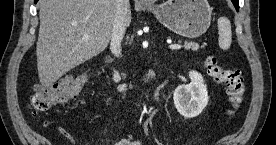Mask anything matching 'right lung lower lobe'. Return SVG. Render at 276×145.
<instances>
[{"instance_id": "obj_1", "label": "right lung lower lobe", "mask_w": 276, "mask_h": 145, "mask_svg": "<svg viewBox=\"0 0 276 145\" xmlns=\"http://www.w3.org/2000/svg\"><path fill=\"white\" fill-rule=\"evenodd\" d=\"M38 0H34L35 3H37Z\"/></svg>"}]
</instances>
